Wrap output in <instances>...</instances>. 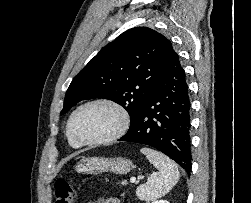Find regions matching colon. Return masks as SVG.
I'll use <instances>...</instances> for the list:
<instances>
[{
	"instance_id": "1",
	"label": "colon",
	"mask_w": 251,
	"mask_h": 203,
	"mask_svg": "<svg viewBox=\"0 0 251 203\" xmlns=\"http://www.w3.org/2000/svg\"><path fill=\"white\" fill-rule=\"evenodd\" d=\"M75 190L70 182L59 179L55 183V203H74Z\"/></svg>"
}]
</instances>
